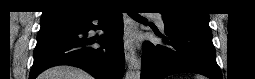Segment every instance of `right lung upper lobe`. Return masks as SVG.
<instances>
[{"mask_svg":"<svg viewBox=\"0 0 255 79\" xmlns=\"http://www.w3.org/2000/svg\"><path fill=\"white\" fill-rule=\"evenodd\" d=\"M100 10L95 4L83 0H50L46 5L42 18L69 13L77 17L86 16Z\"/></svg>","mask_w":255,"mask_h":79,"instance_id":"1","label":"right lung upper lobe"}]
</instances>
